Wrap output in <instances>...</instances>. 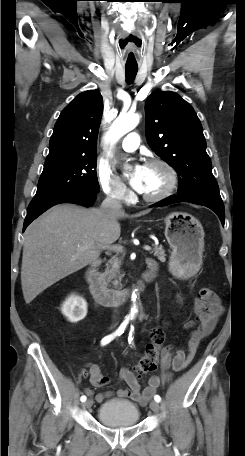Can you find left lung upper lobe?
Instances as JSON below:
<instances>
[{
    "mask_svg": "<svg viewBox=\"0 0 245 456\" xmlns=\"http://www.w3.org/2000/svg\"><path fill=\"white\" fill-rule=\"evenodd\" d=\"M145 112L150 147L180 175L177 195L222 203L192 106L174 92L158 90L147 98Z\"/></svg>",
    "mask_w": 245,
    "mask_h": 456,
    "instance_id": "1",
    "label": "left lung upper lobe"
}]
</instances>
